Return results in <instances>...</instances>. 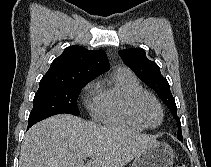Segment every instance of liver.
I'll list each match as a JSON object with an SVG mask.
<instances>
[{
    "label": "liver",
    "instance_id": "obj_1",
    "mask_svg": "<svg viewBox=\"0 0 211 167\" xmlns=\"http://www.w3.org/2000/svg\"><path fill=\"white\" fill-rule=\"evenodd\" d=\"M155 143L149 135L61 114L26 132L19 167H124Z\"/></svg>",
    "mask_w": 211,
    "mask_h": 167
}]
</instances>
